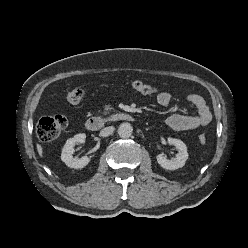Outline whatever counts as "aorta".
Instances as JSON below:
<instances>
[{
	"mask_svg": "<svg viewBox=\"0 0 248 248\" xmlns=\"http://www.w3.org/2000/svg\"><path fill=\"white\" fill-rule=\"evenodd\" d=\"M132 133H133V128L130 123L124 122L120 124L118 128V134L121 138L127 139L131 137Z\"/></svg>",
	"mask_w": 248,
	"mask_h": 248,
	"instance_id": "762f6f07",
	"label": "aorta"
}]
</instances>
